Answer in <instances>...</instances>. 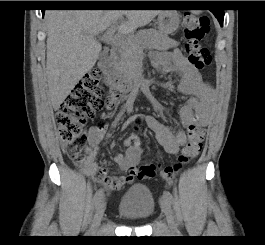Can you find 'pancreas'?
<instances>
[{"instance_id":"cf45deb5","label":"pancreas","mask_w":265,"mask_h":245,"mask_svg":"<svg viewBox=\"0 0 265 245\" xmlns=\"http://www.w3.org/2000/svg\"><path fill=\"white\" fill-rule=\"evenodd\" d=\"M178 44L155 29L140 31L130 38L129 43L121 45L115 61V69L126 79L127 83H131L137 71V62L143 48L167 50L178 46Z\"/></svg>"}]
</instances>
